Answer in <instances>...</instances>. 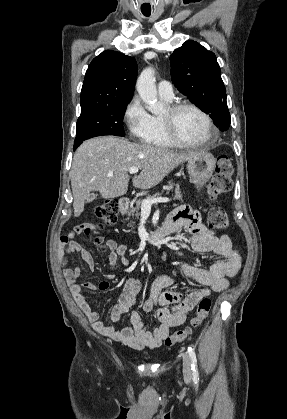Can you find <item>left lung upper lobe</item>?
I'll list each match as a JSON object with an SVG mask.
<instances>
[{
	"label": "left lung upper lobe",
	"instance_id": "1",
	"mask_svg": "<svg viewBox=\"0 0 287 419\" xmlns=\"http://www.w3.org/2000/svg\"><path fill=\"white\" fill-rule=\"evenodd\" d=\"M171 76L177 89L203 112L221 131L230 125L226 89L213 52L195 41H186L170 57Z\"/></svg>",
	"mask_w": 287,
	"mask_h": 419
}]
</instances>
